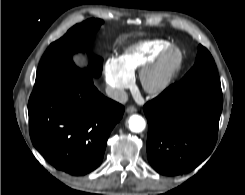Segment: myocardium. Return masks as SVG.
<instances>
[{
  "mask_svg": "<svg viewBox=\"0 0 245 195\" xmlns=\"http://www.w3.org/2000/svg\"><path fill=\"white\" fill-rule=\"evenodd\" d=\"M183 62V54L176 46L160 53L139 72L141 88L150 95L163 92L172 82Z\"/></svg>",
  "mask_w": 245,
  "mask_h": 195,
  "instance_id": "1",
  "label": "myocardium"
}]
</instances>
